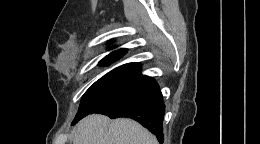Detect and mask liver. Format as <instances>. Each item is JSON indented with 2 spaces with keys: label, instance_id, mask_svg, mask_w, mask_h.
I'll use <instances>...</instances> for the list:
<instances>
[{
  "label": "liver",
  "instance_id": "liver-1",
  "mask_svg": "<svg viewBox=\"0 0 260 144\" xmlns=\"http://www.w3.org/2000/svg\"><path fill=\"white\" fill-rule=\"evenodd\" d=\"M73 144H158V141L134 120H110L107 116L93 114L77 124Z\"/></svg>",
  "mask_w": 260,
  "mask_h": 144
}]
</instances>
